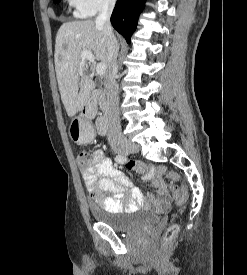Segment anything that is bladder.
I'll use <instances>...</instances> for the list:
<instances>
[{
	"mask_svg": "<svg viewBox=\"0 0 247 275\" xmlns=\"http://www.w3.org/2000/svg\"><path fill=\"white\" fill-rule=\"evenodd\" d=\"M97 223L104 224L118 231L130 230L136 226H153L158 223V214L145 210L110 211L95 206L89 207Z\"/></svg>",
	"mask_w": 247,
	"mask_h": 275,
	"instance_id": "1",
	"label": "bladder"
}]
</instances>
